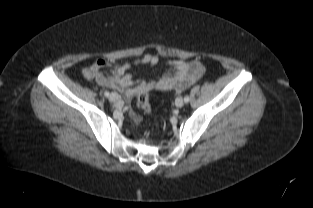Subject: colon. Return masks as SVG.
Wrapping results in <instances>:
<instances>
[{
  "label": "colon",
  "instance_id": "obj_1",
  "mask_svg": "<svg viewBox=\"0 0 313 208\" xmlns=\"http://www.w3.org/2000/svg\"><path fill=\"white\" fill-rule=\"evenodd\" d=\"M137 107L146 114L151 112L149 97L146 91L140 92L136 97Z\"/></svg>",
  "mask_w": 313,
  "mask_h": 208
}]
</instances>
